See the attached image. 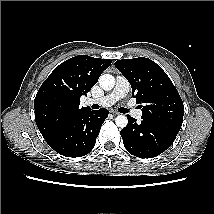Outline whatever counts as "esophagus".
Masks as SVG:
<instances>
[{
    "instance_id": "1",
    "label": "esophagus",
    "mask_w": 214,
    "mask_h": 214,
    "mask_svg": "<svg viewBox=\"0 0 214 214\" xmlns=\"http://www.w3.org/2000/svg\"><path fill=\"white\" fill-rule=\"evenodd\" d=\"M111 113H112L113 115H119V112H117V111H111Z\"/></svg>"
}]
</instances>
